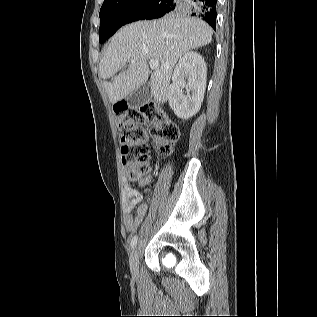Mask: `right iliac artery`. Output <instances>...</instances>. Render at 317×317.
Returning a JSON list of instances; mask_svg holds the SVG:
<instances>
[{
	"label": "right iliac artery",
	"instance_id": "right-iliac-artery-1",
	"mask_svg": "<svg viewBox=\"0 0 317 317\" xmlns=\"http://www.w3.org/2000/svg\"><path fill=\"white\" fill-rule=\"evenodd\" d=\"M137 239H138V237L135 235L133 238H132V240H131V248H134L135 247V245H136V243H137Z\"/></svg>",
	"mask_w": 317,
	"mask_h": 317
}]
</instances>
